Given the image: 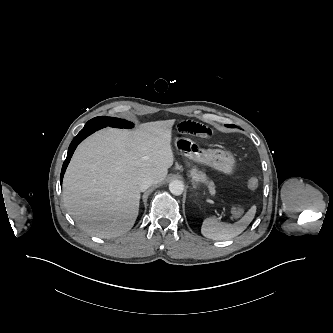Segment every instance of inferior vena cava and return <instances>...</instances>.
<instances>
[{"mask_svg":"<svg viewBox=\"0 0 333 333\" xmlns=\"http://www.w3.org/2000/svg\"><path fill=\"white\" fill-rule=\"evenodd\" d=\"M154 183L152 178L146 177L143 178L140 182H139V189L140 191H145L146 189H148L150 186H152Z\"/></svg>","mask_w":333,"mask_h":333,"instance_id":"inferior-vena-cava-1","label":"inferior vena cava"}]
</instances>
